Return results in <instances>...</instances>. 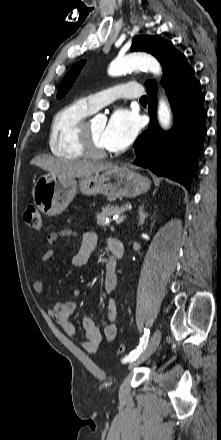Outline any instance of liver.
Returning <instances> with one entry per match:
<instances>
[{
    "label": "liver",
    "instance_id": "obj_1",
    "mask_svg": "<svg viewBox=\"0 0 221 440\" xmlns=\"http://www.w3.org/2000/svg\"><path fill=\"white\" fill-rule=\"evenodd\" d=\"M59 178H83L112 168L111 163L75 162L46 155L34 157L30 162Z\"/></svg>",
    "mask_w": 221,
    "mask_h": 440
}]
</instances>
